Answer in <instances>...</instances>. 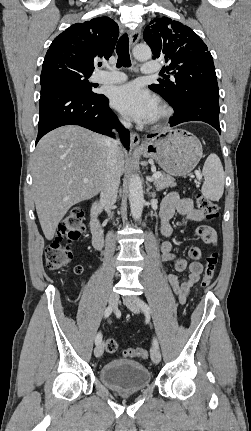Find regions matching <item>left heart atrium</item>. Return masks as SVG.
I'll use <instances>...</instances> for the list:
<instances>
[{
  "label": "left heart atrium",
  "instance_id": "left-heart-atrium-1",
  "mask_svg": "<svg viewBox=\"0 0 251 431\" xmlns=\"http://www.w3.org/2000/svg\"><path fill=\"white\" fill-rule=\"evenodd\" d=\"M111 104L139 122L151 121L158 108L156 98L136 82L116 87L111 94Z\"/></svg>",
  "mask_w": 251,
  "mask_h": 431
}]
</instances>
